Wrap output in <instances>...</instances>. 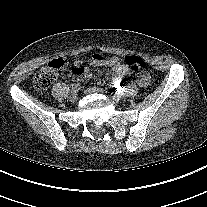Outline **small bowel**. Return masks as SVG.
<instances>
[{"label": "small bowel", "mask_w": 207, "mask_h": 207, "mask_svg": "<svg viewBox=\"0 0 207 207\" xmlns=\"http://www.w3.org/2000/svg\"><path fill=\"white\" fill-rule=\"evenodd\" d=\"M98 56L99 54H96L91 58L77 61V67L74 68L73 73L78 77L88 79L91 77L89 66L108 65L112 66L113 70L120 75H129V69L120 62L118 57L111 56L105 60H99ZM149 83L150 77L148 75H142L137 79L139 86L146 87Z\"/></svg>", "instance_id": "1"}]
</instances>
